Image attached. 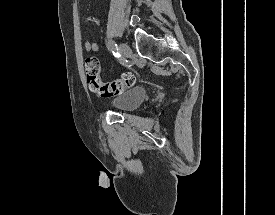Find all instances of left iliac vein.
<instances>
[{"mask_svg":"<svg viewBox=\"0 0 275 215\" xmlns=\"http://www.w3.org/2000/svg\"><path fill=\"white\" fill-rule=\"evenodd\" d=\"M120 52L126 58H129L132 54L131 48L126 43H121L120 44Z\"/></svg>","mask_w":275,"mask_h":215,"instance_id":"4c4485c4","label":"left iliac vein"}]
</instances>
